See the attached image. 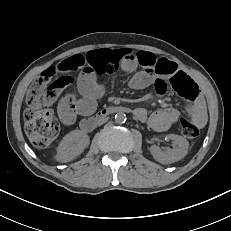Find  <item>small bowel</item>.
<instances>
[{"label": "small bowel", "mask_w": 231, "mask_h": 231, "mask_svg": "<svg viewBox=\"0 0 231 231\" xmlns=\"http://www.w3.org/2000/svg\"><path fill=\"white\" fill-rule=\"evenodd\" d=\"M56 66L63 73L79 72L76 86L80 96L75 93L63 95L58 103V114L65 125L75 122L77 114L86 115L95 109V100L102 93L98 76L122 70L135 72L130 80L134 89L148 87L156 78L167 81L174 75L183 73L176 63L166 58H158L147 51L134 52L129 49H99L88 51L62 60ZM189 118L199 127L206 122L205 103L201 96L187 105ZM136 118L155 131H166L181 118V113L174 107H161L150 115L145 108L135 109Z\"/></svg>", "instance_id": "1"}]
</instances>
